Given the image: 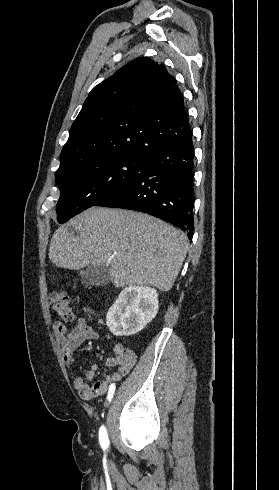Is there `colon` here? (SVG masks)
Here are the masks:
<instances>
[{"label": "colon", "instance_id": "1", "mask_svg": "<svg viewBox=\"0 0 279 490\" xmlns=\"http://www.w3.org/2000/svg\"><path fill=\"white\" fill-rule=\"evenodd\" d=\"M49 303L59 319L72 323L74 321V309L65 291H54L49 295Z\"/></svg>", "mask_w": 279, "mask_h": 490}]
</instances>
